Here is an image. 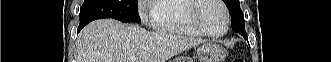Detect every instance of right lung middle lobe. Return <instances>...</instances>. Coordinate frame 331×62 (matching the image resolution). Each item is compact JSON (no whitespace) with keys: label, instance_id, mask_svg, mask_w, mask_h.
Segmentation results:
<instances>
[{"label":"right lung middle lobe","instance_id":"obj_1","mask_svg":"<svg viewBox=\"0 0 331 62\" xmlns=\"http://www.w3.org/2000/svg\"><path fill=\"white\" fill-rule=\"evenodd\" d=\"M137 4V0H84L80 9L79 29L101 18H114L125 23L140 22Z\"/></svg>","mask_w":331,"mask_h":62}]
</instances>
